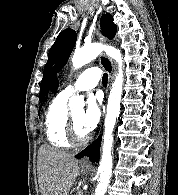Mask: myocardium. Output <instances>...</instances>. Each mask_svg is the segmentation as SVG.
Segmentation results:
<instances>
[{"label": "myocardium", "mask_w": 178, "mask_h": 195, "mask_svg": "<svg viewBox=\"0 0 178 195\" xmlns=\"http://www.w3.org/2000/svg\"><path fill=\"white\" fill-rule=\"evenodd\" d=\"M66 137L72 146H83L89 141V137L86 135L83 138L78 137L72 115L68 113Z\"/></svg>", "instance_id": "1"}]
</instances>
